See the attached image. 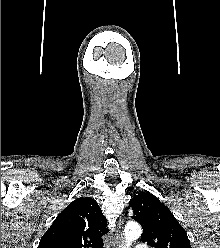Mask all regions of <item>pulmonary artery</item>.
I'll return each mask as SVG.
<instances>
[{"instance_id":"obj_1","label":"pulmonary artery","mask_w":220,"mask_h":248,"mask_svg":"<svg viewBox=\"0 0 220 248\" xmlns=\"http://www.w3.org/2000/svg\"><path fill=\"white\" fill-rule=\"evenodd\" d=\"M136 248H148V247L146 245H144V244H138L136 246Z\"/></svg>"}]
</instances>
